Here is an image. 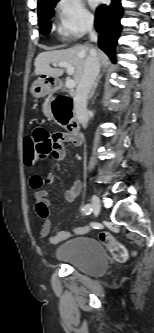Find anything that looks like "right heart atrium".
Segmentation results:
<instances>
[{"label": "right heart atrium", "mask_w": 154, "mask_h": 333, "mask_svg": "<svg viewBox=\"0 0 154 333\" xmlns=\"http://www.w3.org/2000/svg\"><path fill=\"white\" fill-rule=\"evenodd\" d=\"M93 25V17L83 0H59L56 5V29L63 40L76 39Z\"/></svg>", "instance_id": "right-heart-atrium-1"}]
</instances>
